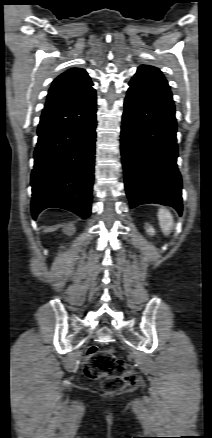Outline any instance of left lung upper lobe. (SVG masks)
<instances>
[{
	"label": "left lung upper lobe",
	"mask_w": 212,
	"mask_h": 438,
	"mask_svg": "<svg viewBox=\"0 0 212 438\" xmlns=\"http://www.w3.org/2000/svg\"><path fill=\"white\" fill-rule=\"evenodd\" d=\"M133 78L142 79L169 88L168 83L163 77L161 71L153 66L141 65Z\"/></svg>",
	"instance_id": "5c2ea615"
}]
</instances>
